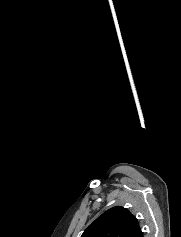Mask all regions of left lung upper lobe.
<instances>
[{
	"label": "left lung upper lobe",
	"mask_w": 181,
	"mask_h": 237,
	"mask_svg": "<svg viewBox=\"0 0 181 237\" xmlns=\"http://www.w3.org/2000/svg\"><path fill=\"white\" fill-rule=\"evenodd\" d=\"M81 237H143V233L136 217L116 206L99 216Z\"/></svg>",
	"instance_id": "obj_1"
}]
</instances>
